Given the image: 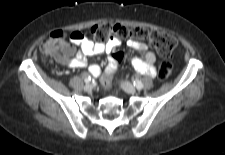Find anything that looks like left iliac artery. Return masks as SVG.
Returning a JSON list of instances; mask_svg holds the SVG:
<instances>
[{"mask_svg":"<svg viewBox=\"0 0 225 155\" xmlns=\"http://www.w3.org/2000/svg\"><path fill=\"white\" fill-rule=\"evenodd\" d=\"M133 84L138 90H141L143 88V83L140 80H134Z\"/></svg>","mask_w":225,"mask_h":155,"instance_id":"1","label":"left iliac artery"}]
</instances>
